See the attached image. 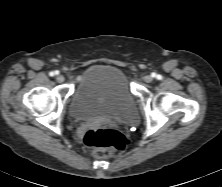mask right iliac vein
Returning <instances> with one entry per match:
<instances>
[{
  "instance_id": "right-iliac-vein-1",
  "label": "right iliac vein",
  "mask_w": 222,
  "mask_h": 187,
  "mask_svg": "<svg viewBox=\"0 0 222 187\" xmlns=\"http://www.w3.org/2000/svg\"><path fill=\"white\" fill-rule=\"evenodd\" d=\"M56 80L57 82L62 83L65 80V78L63 75L59 74L57 75Z\"/></svg>"
}]
</instances>
